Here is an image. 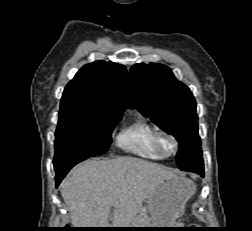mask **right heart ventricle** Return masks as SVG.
I'll return each instance as SVG.
<instances>
[{
  "label": "right heart ventricle",
  "mask_w": 252,
  "mask_h": 231,
  "mask_svg": "<svg viewBox=\"0 0 252 231\" xmlns=\"http://www.w3.org/2000/svg\"><path fill=\"white\" fill-rule=\"evenodd\" d=\"M158 129L142 116L135 117L122 127L116 136V145L126 153L150 160L163 157L156 151L153 138Z\"/></svg>",
  "instance_id": "1"
}]
</instances>
